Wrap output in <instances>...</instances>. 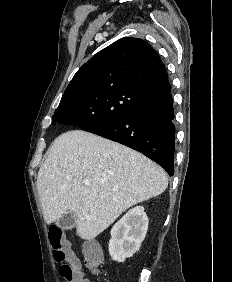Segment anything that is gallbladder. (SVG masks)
<instances>
[{
	"mask_svg": "<svg viewBox=\"0 0 232 282\" xmlns=\"http://www.w3.org/2000/svg\"><path fill=\"white\" fill-rule=\"evenodd\" d=\"M76 214L74 212H68L62 215L55 221V225L61 229H71L76 224Z\"/></svg>",
	"mask_w": 232,
	"mask_h": 282,
	"instance_id": "gallbladder-1",
	"label": "gallbladder"
}]
</instances>
